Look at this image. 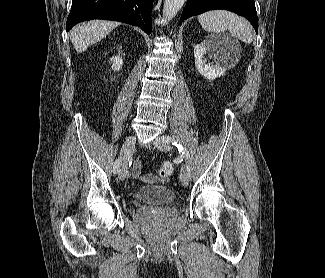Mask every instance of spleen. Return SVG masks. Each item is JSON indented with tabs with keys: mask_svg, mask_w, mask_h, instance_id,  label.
<instances>
[{
	"mask_svg": "<svg viewBox=\"0 0 325 278\" xmlns=\"http://www.w3.org/2000/svg\"><path fill=\"white\" fill-rule=\"evenodd\" d=\"M198 21L205 31L222 33L228 30L230 34L245 43L253 41V29L245 19L234 13L214 10L198 16Z\"/></svg>",
	"mask_w": 325,
	"mask_h": 278,
	"instance_id": "3e777b00",
	"label": "spleen"
}]
</instances>
